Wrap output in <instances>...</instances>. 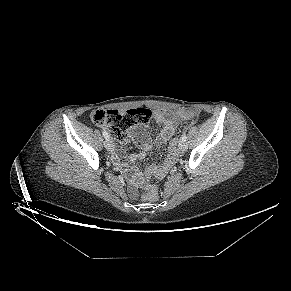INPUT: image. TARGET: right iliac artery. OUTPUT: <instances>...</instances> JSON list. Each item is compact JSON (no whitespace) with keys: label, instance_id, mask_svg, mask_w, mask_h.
Listing matches in <instances>:
<instances>
[{"label":"right iliac artery","instance_id":"1","mask_svg":"<svg viewBox=\"0 0 291 291\" xmlns=\"http://www.w3.org/2000/svg\"><path fill=\"white\" fill-rule=\"evenodd\" d=\"M103 136L105 137L106 140H109V135L108 133L104 130L103 132Z\"/></svg>","mask_w":291,"mask_h":291}]
</instances>
